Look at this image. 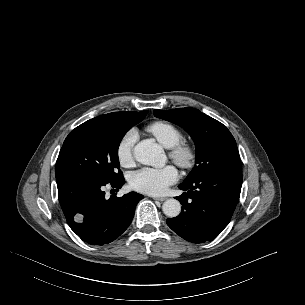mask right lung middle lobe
<instances>
[{"instance_id":"obj_1","label":"right lung middle lobe","mask_w":305,"mask_h":305,"mask_svg":"<svg viewBox=\"0 0 305 305\" xmlns=\"http://www.w3.org/2000/svg\"><path fill=\"white\" fill-rule=\"evenodd\" d=\"M144 116L120 120L105 116L90 119L70 132L60 150L56 178L78 176L109 183L123 177L119 169L118 148L125 133Z\"/></svg>"}]
</instances>
